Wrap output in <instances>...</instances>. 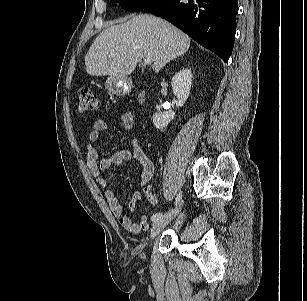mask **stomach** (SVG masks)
Returning a JSON list of instances; mask_svg holds the SVG:
<instances>
[{
	"label": "stomach",
	"mask_w": 307,
	"mask_h": 301,
	"mask_svg": "<svg viewBox=\"0 0 307 301\" xmlns=\"http://www.w3.org/2000/svg\"><path fill=\"white\" fill-rule=\"evenodd\" d=\"M106 88L115 95H124L130 91L131 84L126 77L110 76L105 82Z\"/></svg>",
	"instance_id": "obj_1"
}]
</instances>
